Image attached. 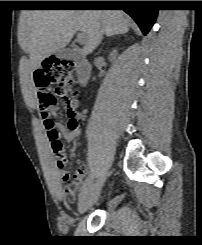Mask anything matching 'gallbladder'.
Instances as JSON below:
<instances>
[{
  "instance_id": "obj_1",
  "label": "gallbladder",
  "mask_w": 202,
  "mask_h": 245,
  "mask_svg": "<svg viewBox=\"0 0 202 245\" xmlns=\"http://www.w3.org/2000/svg\"><path fill=\"white\" fill-rule=\"evenodd\" d=\"M61 59L71 60L78 57V52L72 48H62L56 52Z\"/></svg>"
}]
</instances>
